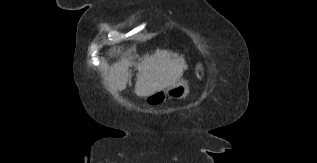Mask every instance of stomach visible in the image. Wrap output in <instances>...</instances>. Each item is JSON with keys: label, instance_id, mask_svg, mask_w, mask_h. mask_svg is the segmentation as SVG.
I'll return each mask as SVG.
<instances>
[{"label": "stomach", "instance_id": "1", "mask_svg": "<svg viewBox=\"0 0 317 163\" xmlns=\"http://www.w3.org/2000/svg\"><path fill=\"white\" fill-rule=\"evenodd\" d=\"M196 74L200 79L204 77V68L202 64L197 65ZM188 93L189 86L187 81L181 80L175 85L168 87L166 90L158 91L145 97L144 100L148 105H158L164 102L166 96L172 99H183L188 95Z\"/></svg>", "mask_w": 317, "mask_h": 163}]
</instances>
